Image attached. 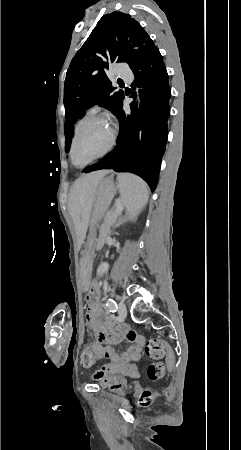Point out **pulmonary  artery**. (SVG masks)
Here are the masks:
<instances>
[{
	"label": "pulmonary artery",
	"mask_w": 241,
	"mask_h": 450,
	"mask_svg": "<svg viewBox=\"0 0 241 450\" xmlns=\"http://www.w3.org/2000/svg\"><path fill=\"white\" fill-rule=\"evenodd\" d=\"M117 72V79L119 81V84H132V81L134 80L135 74L134 71H120L121 67H116Z\"/></svg>",
	"instance_id": "e3ab8cb5"
}]
</instances>
